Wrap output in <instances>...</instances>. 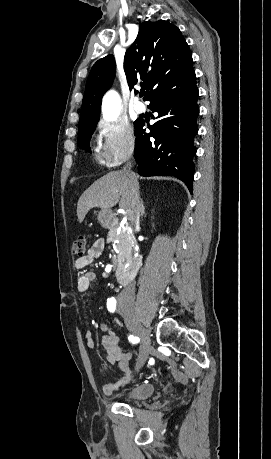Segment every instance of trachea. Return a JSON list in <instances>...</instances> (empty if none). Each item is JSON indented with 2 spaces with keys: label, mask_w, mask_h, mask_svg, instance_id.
Here are the masks:
<instances>
[{
  "label": "trachea",
  "mask_w": 271,
  "mask_h": 459,
  "mask_svg": "<svg viewBox=\"0 0 271 459\" xmlns=\"http://www.w3.org/2000/svg\"><path fill=\"white\" fill-rule=\"evenodd\" d=\"M145 94H146L145 88H142L140 92V96L143 97Z\"/></svg>",
  "instance_id": "3493384b"
}]
</instances>
